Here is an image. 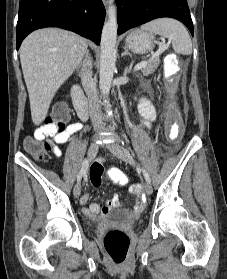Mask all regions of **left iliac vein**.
I'll list each match as a JSON object with an SVG mask.
<instances>
[{"label":"left iliac vein","instance_id":"left-iliac-vein-1","mask_svg":"<svg viewBox=\"0 0 227 279\" xmlns=\"http://www.w3.org/2000/svg\"><path fill=\"white\" fill-rule=\"evenodd\" d=\"M107 149L114 154L116 157H118L119 159L123 160L124 162L130 164V165H135V160L133 158V156L130 154V152L125 149L124 147L120 146L117 143H111L107 146ZM152 186L150 183L146 182L144 184V192L147 195H151L152 194Z\"/></svg>","mask_w":227,"mask_h":279}]
</instances>
